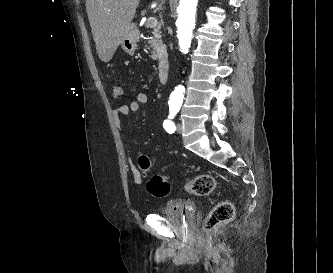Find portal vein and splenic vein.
Returning a JSON list of instances; mask_svg holds the SVG:
<instances>
[{
  "instance_id": "1",
  "label": "portal vein and splenic vein",
  "mask_w": 333,
  "mask_h": 273,
  "mask_svg": "<svg viewBox=\"0 0 333 273\" xmlns=\"http://www.w3.org/2000/svg\"><path fill=\"white\" fill-rule=\"evenodd\" d=\"M157 24H158L157 19L154 17H150L146 22V26L151 28H156Z\"/></svg>"
}]
</instances>
